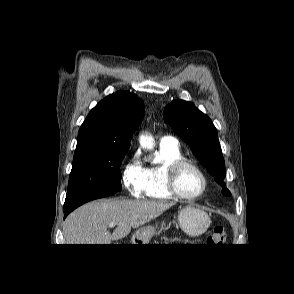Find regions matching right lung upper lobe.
<instances>
[{
  "instance_id": "obj_1",
  "label": "right lung upper lobe",
  "mask_w": 294,
  "mask_h": 294,
  "mask_svg": "<svg viewBox=\"0 0 294 294\" xmlns=\"http://www.w3.org/2000/svg\"><path fill=\"white\" fill-rule=\"evenodd\" d=\"M144 115V104L134 93L119 91L101 100L79 129L77 147H130Z\"/></svg>"
}]
</instances>
